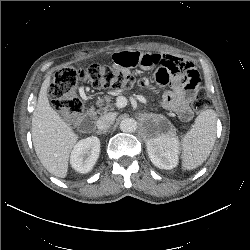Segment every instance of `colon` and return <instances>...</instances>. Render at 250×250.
Here are the masks:
<instances>
[{"instance_id": "obj_1", "label": "colon", "mask_w": 250, "mask_h": 250, "mask_svg": "<svg viewBox=\"0 0 250 250\" xmlns=\"http://www.w3.org/2000/svg\"><path fill=\"white\" fill-rule=\"evenodd\" d=\"M78 81L90 83L94 88L129 89L142 87L131 74L117 71L108 66L91 65L85 68H62L56 72L49 88V96L54 107L69 122L74 121L83 112V103L76 94ZM211 105V98L206 89L196 91L192 106L196 112H201Z\"/></svg>"}]
</instances>
